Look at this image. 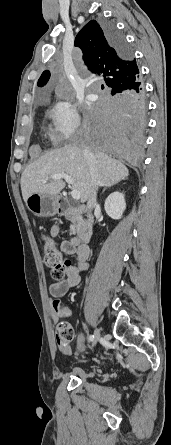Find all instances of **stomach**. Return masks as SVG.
I'll list each match as a JSON object with an SVG mask.
<instances>
[{
  "label": "stomach",
  "instance_id": "obj_1",
  "mask_svg": "<svg viewBox=\"0 0 171 445\" xmlns=\"http://www.w3.org/2000/svg\"><path fill=\"white\" fill-rule=\"evenodd\" d=\"M27 208L35 215L48 217L54 215L59 207L58 196L33 193L26 200Z\"/></svg>",
  "mask_w": 171,
  "mask_h": 445
}]
</instances>
